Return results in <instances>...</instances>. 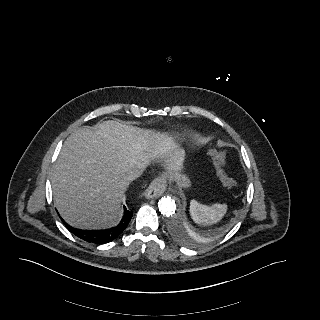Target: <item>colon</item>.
<instances>
[{
    "label": "colon",
    "instance_id": "colon-1",
    "mask_svg": "<svg viewBox=\"0 0 320 320\" xmlns=\"http://www.w3.org/2000/svg\"><path fill=\"white\" fill-rule=\"evenodd\" d=\"M217 176L221 184L226 188H232L236 185L235 180L228 174L226 170V157L221 151L213 152Z\"/></svg>",
    "mask_w": 320,
    "mask_h": 320
}]
</instances>
